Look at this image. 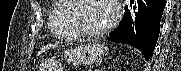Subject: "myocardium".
<instances>
[{"label":"myocardium","instance_id":"1","mask_svg":"<svg viewBox=\"0 0 181 71\" xmlns=\"http://www.w3.org/2000/svg\"><path fill=\"white\" fill-rule=\"evenodd\" d=\"M82 1H86V0H71L70 1L71 8H72V16H71L72 25L76 29L78 34L87 38H97L108 33L114 26V19H111L108 22V24H106L104 27L98 30L88 29L83 25L79 16L80 5Z\"/></svg>","mask_w":181,"mask_h":71}]
</instances>
